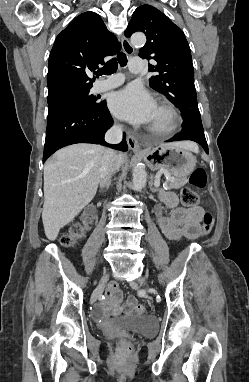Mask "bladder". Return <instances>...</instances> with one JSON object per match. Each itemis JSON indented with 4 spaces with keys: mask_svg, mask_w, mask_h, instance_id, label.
Masks as SVG:
<instances>
[{
    "mask_svg": "<svg viewBox=\"0 0 249 382\" xmlns=\"http://www.w3.org/2000/svg\"><path fill=\"white\" fill-rule=\"evenodd\" d=\"M115 324L125 331L146 336L154 334L157 330L156 319L146 314L124 316L116 319Z\"/></svg>",
    "mask_w": 249,
    "mask_h": 382,
    "instance_id": "bladder-1",
    "label": "bladder"
}]
</instances>
